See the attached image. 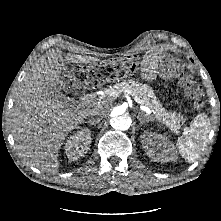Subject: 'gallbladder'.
Returning a JSON list of instances; mask_svg holds the SVG:
<instances>
[{"mask_svg":"<svg viewBox=\"0 0 221 221\" xmlns=\"http://www.w3.org/2000/svg\"><path fill=\"white\" fill-rule=\"evenodd\" d=\"M48 93H49L51 96H53V97L59 99V100H60L61 102H63V103L68 104V102H69L68 98H66V97L60 92V90H58L57 88H51V89H49V90H48Z\"/></svg>","mask_w":221,"mask_h":221,"instance_id":"obj_1","label":"gallbladder"}]
</instances>
